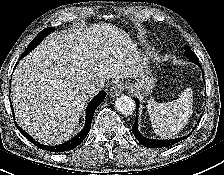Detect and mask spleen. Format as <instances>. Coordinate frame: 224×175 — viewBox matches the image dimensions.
<instances>
[{"mask_svg": "<svg viewBox=\"0 0 224 175\" xmlns=\"http://www.w3.org/2000/svg\"><path fill=\"white\" fill-rule=\"evenodd\" d=\"M193 91L187 88L180 98L167 103L150 99L147 109L154 132L161 137H173L188 123L193 108Z\"/></svg>", "mask_w": 224, "mask_h": 175, "instance_id": "spleen-1", "label": "spleen"}]
</instances>
